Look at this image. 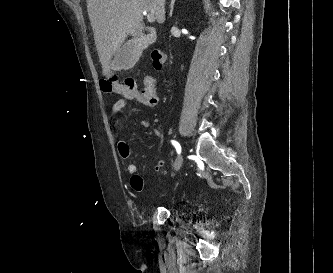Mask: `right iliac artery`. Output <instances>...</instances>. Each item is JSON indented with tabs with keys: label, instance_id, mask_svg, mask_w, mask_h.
I'll list each match as a JSON object with an SVG mask.
<instances>
[{
	"label": "right iliac artery",
	"instance_id": "obj_1",
	"mask_svg": "<svg viewBox=\"0 0 333 273\" xmlns=\"http://www.w3.org/2000/svg\"><path fill=\"white\" fill-rule=\"evenodd\" d=\"M171 142H172L173 146L175 147L177 153L180 154L181 153V146H180V144L177 141H175V140H171Z\"/></svg>",
	"mask_w": 333,
	"mask_h": 273
}]
</instances>
